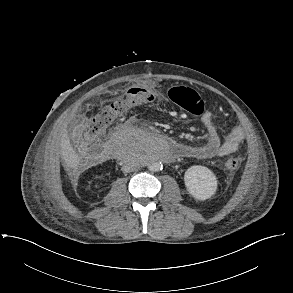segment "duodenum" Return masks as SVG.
I'll return each instance as SVG.
<instances>
[{
    "instance_id": "1",
    "label": "duodenum",
    "mask_w": 293,
    "mask_h": 293,
    "mask_svg": "<svg viewBox=\"0 0 293 293\" xmlns=\"http://www.w3.org/2000/svg\"><path fill=\"white\" fill-rule=\"evenodd\" d=\"M173 144L177 147L178 151L171 158H169L170 162L175 161L177 158L181 157V151L184 149V146H182L179 142L173 141ZM160 159L165 160V158Z\"/></svg>"
}]
</instances>
